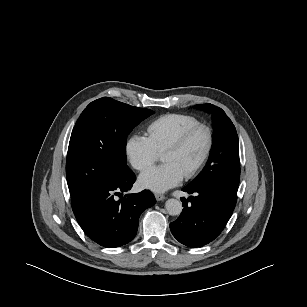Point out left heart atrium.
I'll return each mask as SVG.
<instances>
[{
    "instance_id": "39dd6f15",
    "label": "left heart atrium",
    "mask_w": 307,
    "mask_h": 307,
    "mask_svg": "<svg viewBox=\"0 0 307 307\" xmlns=\"http://www.w3.org/2000/svg\"><path fill=\"white\" fill-rule=\"evenodd\" d=\"M183 178L184 174L175 165L164 163L143 172L139 176V184L154 192H164L178 185Z\"/></svg>"
}]
</instances>
